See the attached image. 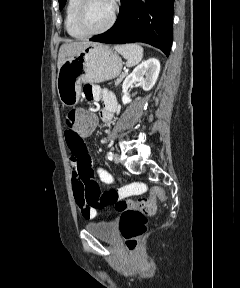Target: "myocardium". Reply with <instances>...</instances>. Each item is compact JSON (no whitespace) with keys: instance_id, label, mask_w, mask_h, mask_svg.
I'll return each instance as SVG.
<instances>
[{"instance_id":"myocardium-1","label":"myocardium","mask_w":240,"mask_h":288,"mask_svg":"<svg viewBox=\"0 0 240 288\" xmlns=\"http://www.w3.org/2000/svg\"><path fill=\"white\" fill-rule=\"evenodd\" d=\"M88 2H89V0H80V3L78 5L77 11H76V15H75V24H76L77 28L86 36L101 34L105 31H107L108 29H110L112 27V25L114 24L115 19H116V12H117L116 4L114 2H111L112 3V12H111L110 18L107 21V23L103 27H101L97 30H90L84 24V14H85V10H86V7L88 5Z\"/></svg>"}]
</instances>
